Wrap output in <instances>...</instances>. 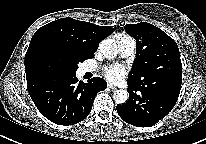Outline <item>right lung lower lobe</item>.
I'll list each match as a JSON object with an SVG mask.
<instances>
[{
  "label": "right lung lower lobe",
  "mask_w": 206,
  "mask_h": 144,
  "mask_svg": "<svg viewBox=\"0 0 206 144\" xmlns=\"http://www.w3.org/2000/svg\"><path fill=\"white\" fill-rule=\"evenodd\" d=\"M27 88L43 116L58 125H72L89 115L96 94L107 83L99 77L78 82L76 74H34L27 76Z\"/></svg>",
  "instance_id": "right-lung-lower-lobe-1"
}]
</instances>
